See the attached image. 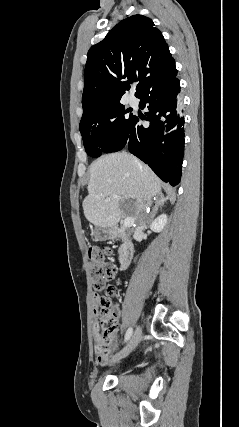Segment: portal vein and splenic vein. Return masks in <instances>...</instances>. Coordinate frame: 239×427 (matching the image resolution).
Here are the masks:
<instances>
[{
  "instance_id": "1",
  "label": "portal vein and splenic vein",
  "mask_w": 239,
  "mask_h": 427,
  "mask_svg": "<svg viewBox=\"0 0 239 427\" xmlns=\"http://www.w3.org/2000/svg\"><path fill=\"white\" fill-rule=\"evenodd\" d=\"M132 224H134V219L133 218H125V220H124V226L128 227V226H131Z\"/></svg>"
}]
</instances>
